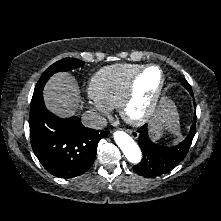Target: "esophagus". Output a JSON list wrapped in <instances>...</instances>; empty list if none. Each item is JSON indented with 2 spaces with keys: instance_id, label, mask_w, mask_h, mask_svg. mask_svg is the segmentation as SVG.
<instances>
[{
  "instance_id": "esophagus-1",
  "label": "esophagus",
  "mask_w": 221,
  "mask_h": 221,
  "mask_svg": "<svg viewBox=\"0 0 221 221\" xmlns=\"http://www.w3.org/2000/svg\"><path fill=\"white\" fill-rule=\"evenodd\" d=\"M128 133L134 138V139H138L139 134L136 131H131L129 130Z\"/></svg>"
}]
</instances>
